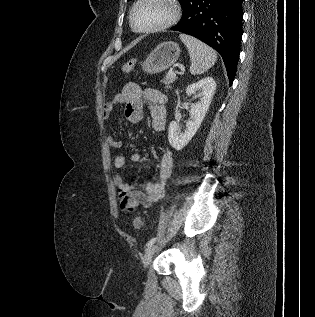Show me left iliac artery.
<instances>
[{
    "instance_id": "left-iliac-artery-1",
    "label": "left iliac artery",
    "mask_w": 315,
    "mask_h": 317,
    "mask_svg": "<svg viewBox=\"0 0 315 317\" xmlns=\"http://www.w3.org/2000/svg\"><path fill=\"white\" fill-rule=\"evenodd\" d=\"M156 239H157L156 237L150 239V240L146 243V247L152 246V245L155 243Z\"/></svg>"
}]
</instances>
